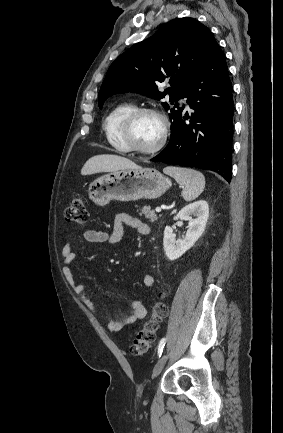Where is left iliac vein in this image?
Segmentation results:
<instances>
[{
	"label": "left iliac vein",
	"instance_id": "left-iliac-vein-1",
	"mask_svg": "<svg viewBox=\"0 0 283 433\" xmlns=\"http://www.w3.org/2000/svg\"><path fill=\"white\" fill-rule=\"evenodd\" d=\"M168 359V353L164 354L156 363L153 370V378L157 377L159 373L162 371L166 361Z\"/></svg>",
	"mask_w": 283,
	"mask_h": 433
}]
</instances>
